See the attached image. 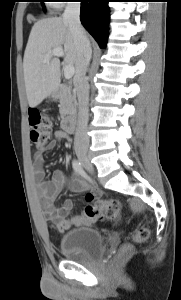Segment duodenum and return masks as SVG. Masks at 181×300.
<instances>
[{"mask_svg": "<svg viewBox=\"0 0 181 300\" xmlns=\"http://www.w3.org/2000/svg\"><path fill=\"white\" fill-rule=\"evenodd\" d=\"M59 87L54 89L51 93V99H56L59 93ZM63 129L65 132L68 134H72L74 132V120L71 115H67L64 117L63 122H62Z\"/></svg>", "mask_w": 181, "mask_h": 300, "instance_id": "1", "label": "duodenum"}]
</instances>
